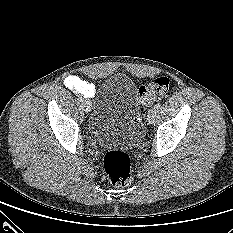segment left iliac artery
Masks as SVG:
<instances>
[{"label": "left iliac artery", "instance_id": "1", "mask_svg": "<svg viewBox=\"0 0 233 233\" xmlns=\"http://www.w3.org/2000/svg\"><path fill=\"white\" fill-rule=\"evenodd\" d=\"M160 107H161V104H160V103H157V104L154 105V108L157 109V110H158Z\"/></svg>", "mask_w": 233, "mask_h": 233}]
</instances>
